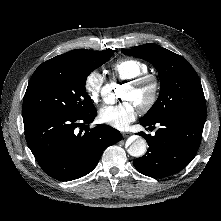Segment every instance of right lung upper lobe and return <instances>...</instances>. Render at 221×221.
I'll return each mask as SVG.
<instances>
[{"label":"right lung upper lobe","mask_w":221,"mask_h":221,"mask_svg":"<svg viewBox=\"0 0 221 221\" xmlns=\"http://www.w3.org/2000/svg\"><path fill=\"white\" fill-rule=\"evenodd\" d=\"M90 52H92V51L91 50L77 49V50H73V51L67 52L65 54L56 56L54 58L60 59V60H75V59L86 56Z\"/></svg>","instance_id":"1"}]
</instances>
